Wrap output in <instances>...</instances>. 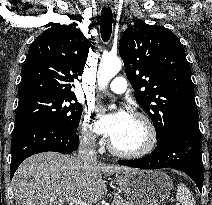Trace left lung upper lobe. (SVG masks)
Wrapping results in <instances>:
<instances>
[{"label": "left lung upper lobe", "instance_id": "5c2ea615", "mask_svg": "<svg viewBox=\"0 0 212 205\" xmlns=\"http://www.w3.org/2000/svg\"><path fill=\"white\" fill-rule=\"evenodd\" d=\"M119 53L135 98L153 121L158 143L180 120L198 115L190 66L172 31L134 24L123 33Z\"/></svg>", "mask_w": 212, "mask_h": 205}]
</instances>
